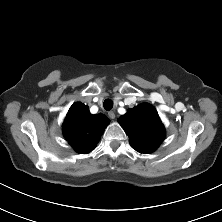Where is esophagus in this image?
Wrapping results in <instances>:
<instances>
[{
	"instance_id": "esophagus-1",
	"label": "esophagus",
	"mask_w": 222,
	"mask_h": 222,
	"mask_svg": "<svg viewBox=\"0 0 222 222\" xmlns=\"http://www.w3.org/2000/svg\"><path fill=\"white\" fill-rule=\"evenodd\" d=\"M108 116L110 119H115V113L113 111L108 112Z\"/></svg>"
}]
</instances>
